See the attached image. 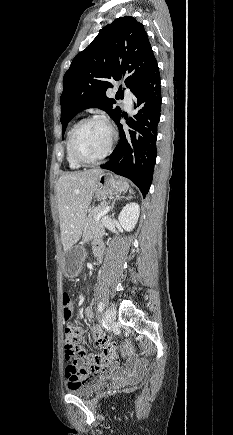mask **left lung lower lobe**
Instances as JSON below:
<instances>
[{
  "mask_svg": "<svg viewBox=\"0 0 233 435\" xmlns=\"http://www.w3.org/2000/svg\"><path fill=\"white\" fill-rule=\"evenodd\" d=\"M136 97L133 108L137 114L127 122L129 129L115 120L120 140L111 159L101 166L117 175L129 178L143 194L149 191L156 163L157 126L161 111L160 73L156 64L133 91Z\"/></svg>",
  "mask_w": 233,
  "mask_h": 435,
  "instance_id": "left-lung-lower-lobe-1",
  "label": "left lung lower lobe"
}]
</instances>
